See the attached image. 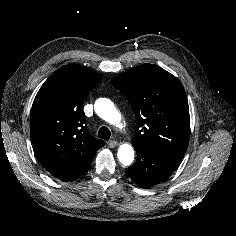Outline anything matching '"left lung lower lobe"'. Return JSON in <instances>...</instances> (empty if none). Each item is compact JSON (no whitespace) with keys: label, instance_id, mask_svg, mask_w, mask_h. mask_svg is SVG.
Listing matches in <instances>:
<instances>
[{"label":"left lung lower lobe","instance_id":"obj_1","mask_svg":"<svg viewBox=\"0 0 236 236\" xmlns=\"http://www.w3.org/2000/svg\"><path fill=\"white\" fill-rule=\"evenodd\" d=\"M134 147L137 151L136 162L126 169V174L142 188H149L165 180L181 160L150 148Z\"/></svg>","mask_w":236,"mask_h":236}]
</instances>
